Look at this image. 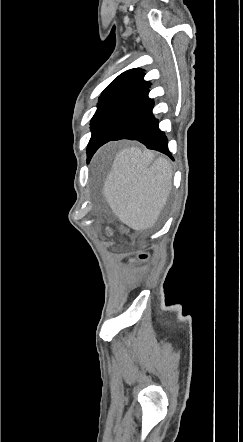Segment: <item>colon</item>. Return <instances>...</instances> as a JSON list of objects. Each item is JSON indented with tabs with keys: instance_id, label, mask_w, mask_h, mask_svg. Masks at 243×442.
Here are the masks:
<instances>
[{
	"instance_id": "obj_1",
	"label": "colon",
	"mask_w": 243,
	"mask_h": 442,
	"mask_svg": "<svg viewBox=\"0 0 243 442\" xmlns=\"http://www.w3.org/2000/svg\"><path fill=\"white\" fill-rule=\"evenodd\" d=\"M108 234H111V231H108ZM148 255L146 253H140L139 254V260L144 261L146 260Z\"/></svg>"
}]
</instances>
